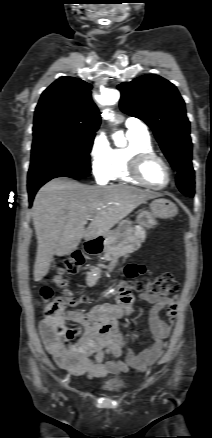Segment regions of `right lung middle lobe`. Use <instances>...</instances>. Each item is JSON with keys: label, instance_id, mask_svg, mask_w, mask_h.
I'll list each match as a JSON object with an SVG mask.
<instances>
[{"label": "right lung middle lobe", "instance_id": "dd1d6c3e", "mask_svg": "<svg viewBox=\"0 0 212 438\" xmlns=\"http://www.w3.org/2000/svg\"><path fill=\"white\" fill-rule=\"evenodd\" d=\"M29 174L43 171L90 172L95 133L43 129L33 133Z\"/></svg>", "mask_w": 212, "mask_h": 438}]
</instances>
